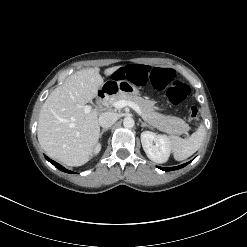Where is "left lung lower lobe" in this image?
<instances>
[{"mask_svg": "<svg viewBox=\"0 0 247 247\" xmlns=\"http://www.w3.org/2000/svg\"><path fill=\"white\" fill-rule=\"evenodd\" d=\"M190 162L188 163H185V164H182V165H179V166H175V167H158L159 169L163 170V171H172V170H177V169H180L184 166H186L187 164H189Z\"/></svg>", "mask_w": 247, "mask_h": 247, "instance_id": "1", "label": "left lung lower lobe"}]
</instances>
